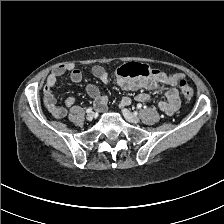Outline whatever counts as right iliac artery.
I'll return each instance as SVG.
<instances>
[{"label": "right iliac artery", "mask_w": 224, "mask_h": 224, "mask_svg": "<svg viewBox=\"0 0 224 224\" xmlns=\"http://www.w3.org/2000/svg\"><path fill=\"white\" fill-rule=\"evenodd\" d=\"M92 108L91 107H89L87 110H86V113H91L92 112Z\"/></svg>", "instance_id": "obj_1"}]
</instances>
